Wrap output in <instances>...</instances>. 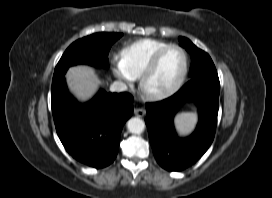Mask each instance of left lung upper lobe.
<instances>
[{"label": "left lung upper lobe", "mask_w": 272, "mask_h": 198, "mask_svg": "<svg viewBox=\"0 0 272 198\" xmlns=\"http://www.w3.org/2000/svg\"><path fill=\"white\" fill-rule=\"evenodd\" d=\"M179 42L191 54L190 77L216 72L214 63L206 52L187 38L179 37Z\"/></svg>", "instance_id": "1"}]
</instances>
